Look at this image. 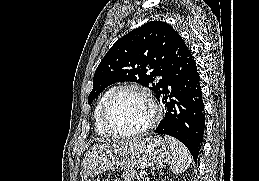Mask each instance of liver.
<instances>
[{
	"label": "liver",
	"mask_w": 259,
	"mask_h": 181,
	"mask_svg": "<svg viewBox=\"0 0 259 181\" xmlns=\"http://www.w3.org/2000/svg\"><path fill=\"white\" fill-rule=\"evenodd\" d=\"M115 143L124 144L123 142H115ZM104 144H107V143H104ZM99 145H103V144H99Z\"/></svg>",
	"instance_id": "6515ba94"
}]
</instances>
